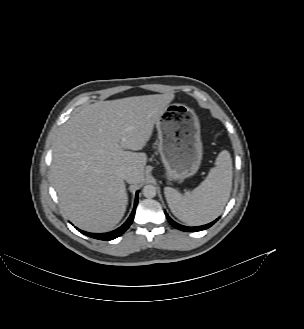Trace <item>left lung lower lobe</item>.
<instances>
[{"instance_id": "obj_1", "label": "left lung lower lobe", "mask_w": 304, "mask_h": 329, "mask_svg": "<svg viewBox=\"0 0 304 329\" xmlns=\"http://www.w3.org/2000/svg\"><path fill=\"white\" fill-rule=\"evenodd\" d=\"M166 214V217L168 219V221L170 222V224L175 227L176 229H179L181 231H186V232H193V231H201V230H205L207 228H209L210 226H212L218 219H216L215 221L209 223V224H206V225H203V226H197V227H187V226H183V225H180L178 223H176L175 221H173L169 216L168 214L165 212Z\"/></svg>"}]
</instances>
